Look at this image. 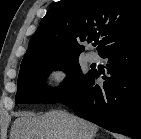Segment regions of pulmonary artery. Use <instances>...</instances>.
Masks as SVG:
<instances>
[{
	"label": "pulmonary artery",
	"instance_id": "e3ab8cb5",
	"mask_svg": "<svg viewBox=\"0 0 141 139\" xmlns=\"http://www.w3.org/2000/svg\"><path fill=\"white\" fill-rule=\"evenodd\" d=\"M97 59H98V57L95 53L90 52V53L87 54V60L89 62H96Z\"/></svg>",
	"mask_w": 141,
	"mask_h": 139
}]
</instances>
